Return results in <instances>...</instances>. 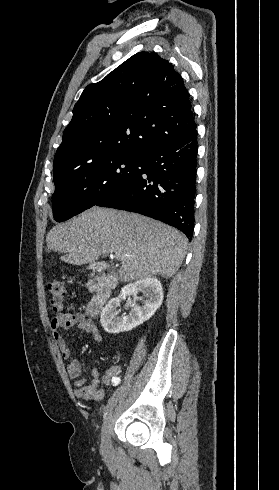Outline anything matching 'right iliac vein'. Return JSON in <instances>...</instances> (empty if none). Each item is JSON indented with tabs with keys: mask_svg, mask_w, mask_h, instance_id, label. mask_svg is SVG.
<instances>
[{
	"mask_svg": "<svg viewBox=\"0 0 279 490\" xmlns=\"http://www.w3.org/2000/svg\"><path fill=\"white\" fill-rule=\"evenodd\" d=\"M119 391H116L108 400L107 417L101 432V452L108 457L112 453V445L110 440V430L113 423V410L118 397Z\"/></svg>",
	"mask_w": 279,
	"mask_h": 490,
	"instance_id": "obj_1",
	"label": "right iliac vein"
}]
</instances>
